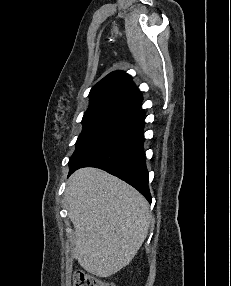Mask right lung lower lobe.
<instances>
[{
  "label": "right lung lower lobe",
  "mask_w": 231,
  "mask_h": 286,
  "mask_svg": "<svg viewBox=\"0 0 231 286\" xmlns=\"http://www.w3.org/2000/svg\"><path fill=\"white\" fill-rule=\"evenodd\" d=\"M143 110L97 144L76 162L69 164V175L81 167H97L126 181L151 202L148 172L143 151Z\"/></svg>",
  "instance_id": "98d812e1"
}]
</instances>
